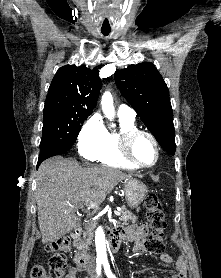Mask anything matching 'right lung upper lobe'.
I'll use <instances>...</instances> for the list:
<instances>
[{
	"mask_svg": "<svg viewBox=\"0 0 221 278\" xmlns=\"http://www.w3.org/2000/svg\"><path fill=\"white\" fill-rule=\"evenodd\" d=\"M101 79L98 69L66 65L58 69L48 89L44 113L90 115L96 106Z\"/></svg>",
	"mask_w": 221,
	"mask_h": 278,
	"instance_id": "cb5924a9",
	"label": "right lung upper lobe"
}]
</instances>
